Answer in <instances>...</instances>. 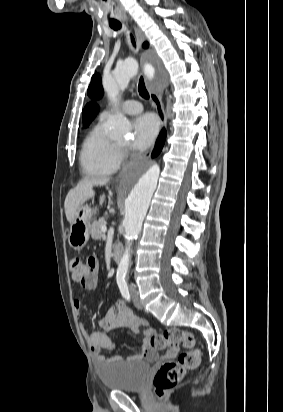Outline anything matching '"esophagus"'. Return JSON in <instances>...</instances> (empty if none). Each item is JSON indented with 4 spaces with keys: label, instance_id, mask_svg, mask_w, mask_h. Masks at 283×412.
<instances>
[{
    "label": "esophagus",
    "instance_id": "esophagus-1",
    "mask_svg": "<svg viewBox=\"0 0 283 412\" xmlns=\"http://www.w3.org/2000/svg\"><path fill=\"white\" fill-rule=\"evenodd\" d=\"M134 30H135L137 44H138L139 47H141V45L145 41V37H144L143 33L138 28L135 27ZM143 62H144V59L141 58V63H143ZM146 87L149 91L150 98L153 102V105L156 108L161 126L166 127L167 118H166V113H165L164 106H163V103H162V90H161V87H156L155 88L149 82H146ZM120 177H121V175L118 176L117 180Z\"/></svg>",
    "mask_w": 283,
    "mask_h": 412
}]
</instances>
